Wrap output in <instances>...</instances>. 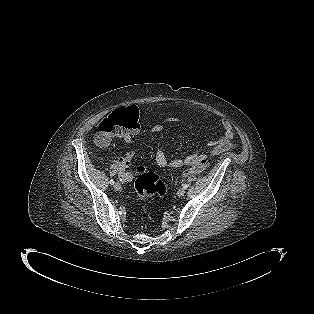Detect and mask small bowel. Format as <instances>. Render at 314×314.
Segmentation results:
<instances>
[{
  "mask_svg": "<svg viewBox=\"0 0 314 314\" xmlns=\"http://www.w3.org/2000/svg\"><path fill=\"white\" fill-rule=\"evenodd\" d=\"M178 119L175 117H165L162 118L154 123V125L151 127L150 131L152 133H160L164 130V124L165 123H170V122H176ZM222 129H223V134L218 137L214 141H210L207 144V147L210 149V155L211 156H216L219 155L223 152H226L233 148V127L231 123L227 120H222L221 122ZM140 132V128H137L131 132H126V133H120L117 135V137L125 142L129 143L131 142L132 138L137 135ZM96 143L98 146L102 148H106L110 145L111 143V137L108 138L105 142H99L96 139ZM136 152L134 150H128L123 156L116 157L114 158L115 164L120 168V177L123 181H130L133 177L134 174L137 173L138 168L143 167L140 166L136 169L135 173L134 172H128L127 169L129 168L132 159L135 157ZM205 155L200 153V152H195L188 157L182 159V158H175L171 161H168L167 156L164 152V150L159 147L156 150L155 153V162L159 167H166V166H171L173 168H179L182 166H191L195 162H197L199 159L203 158Z\"/></svg>",
  "mask_w": 314,
  "mask_h": 314,
  "instance_id": "1",
  "label": "small bowel"
}]
</instances>
